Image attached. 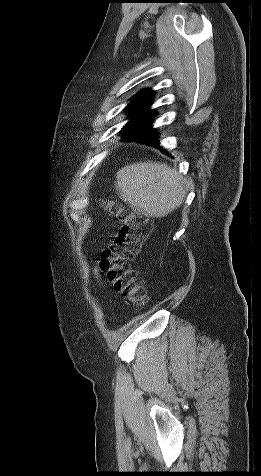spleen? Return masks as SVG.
<instances>
[{
    "label": "spleen",
    "instance_id": "obj_1",
    "mask_svg": "<svg viewBox=\"0 0 261 476\" xmlns=\"http://www.w3.org/2000/svg\"><path fill=\"white\" fill-rule=\"evenodd\" d=\"M116 175L120 199L149 217L167 216L185 197L183 178L164 163L138 162L121 168Z\"/></svg>",
    "mask_w": 261,
    "mask_h": 476
}]
</instances>
